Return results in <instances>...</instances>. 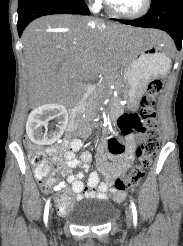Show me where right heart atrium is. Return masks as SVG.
<instances>
[{
    "mask_svg": "<svg viewBox=\"0 0 183 246\" xmlns=\"http://www.w3.org/2000/svg\"><path fill=\"white\" fill-rule=\"evenodd\" d=\"M89 2H91L95 7H98L101 3V0H88Z\"/></svg>",
    "mask_w": 183,
    "mask_h": 246,
    "instance_id": "d8ad5b80",
    "label": "right heart atrium"
}]
</instances>
